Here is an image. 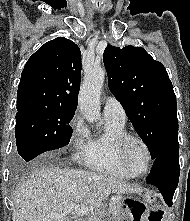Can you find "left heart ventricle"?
Listing matches in <instances>:
<instances>
[{
  "label": "left heart ventricle",
  "mask_w": 190,
  "mask_h": 221,
  "mask_svg": "<svg viewBox=\"0 0 190 221\" xmlns=\"http://www.w3.org/2000/svg\"><path fill=\"white\" fill-rule=\"evenodd\" d=\"M127 160L134 170L142 172L148 165V155L144 147L137 141L129 142L127 146Z\"/></svg>",
  "instance_id": "left-heart-ventricle-1"
}]
</instances>
